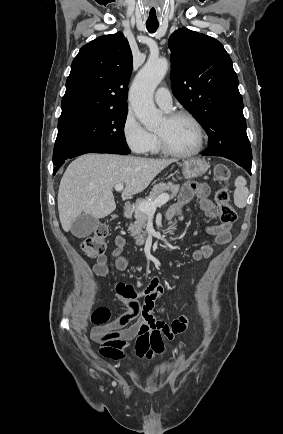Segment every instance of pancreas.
<instances>
[{
    "label": "pancreas",
    "instance_id": "cf45deb5",
    "mask_svg": "<svg viewBox=\"0 0 283 434\" xmlns=\"http://www.w3.org/2000/svg\"><path fill=\"white\" fill-rule=\"evenodd\" d=\"M179 188V185L172 184L171 182H168L167 184L160 183L154 186V188L150 192V195L146 199L139 201L138 204L134 207H127V214L130 216L134 215V218L136 219L133 224H130L128 231L134 237L137 245H143L145 242L146 232L143 231V229L146 228L147 221L149 219L148 214L142 212L139 209V204H141L142 202L154 201L166 191L171 192V198H174L177 196Z\"/></svg>",
    "mask_w": 283,
    "mask_h": 434
}]
</instances>
